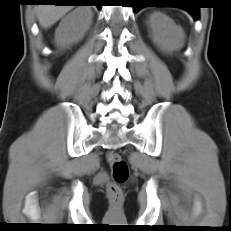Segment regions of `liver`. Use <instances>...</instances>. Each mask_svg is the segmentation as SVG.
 <instances>
[{"instance_id": "6515ba94", "label": "liver", "mask_w": 231, "mask_h": 231, "mask_svg": "<svg viewBox=\"0 0 231 231\" xmlns=\"http://www.w3.org/2000/svg\"><path fill=\"white\" fill-rule=\"evenodd\" d=\"M72 9V5H39L35 12L40 25L49 28Z\"/></svg>"}]
</instances>
